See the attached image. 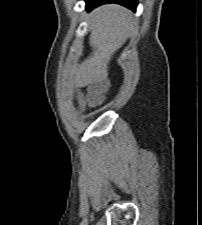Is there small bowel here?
Listing matches in <instances>:
<instances>
[{"label":"small bowel","instance_id":"obj_1","mask_svg":"<svg viewBox=\"0 0 202 225\" xmlns=\"http://www.w3.org/2000/svg\"><path fill=\"white\" fill-rule=\"evenodd\" d=\"M105 84H108V82H106ZM96 87H98V84H93L92 86H89V88H87V90H85L84 92L78 93L77 98L83 103H88L93 97L92 90Z\"/></svg>","mask_w":202,"mask_h":225}]
</instances>
